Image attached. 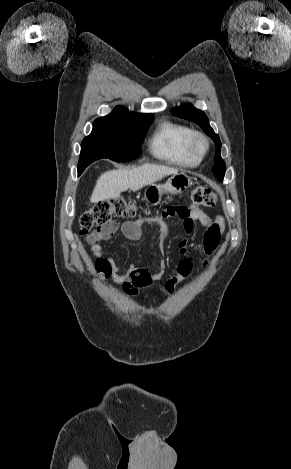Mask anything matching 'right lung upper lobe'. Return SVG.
<instances>
[{
    "label": "right lung upper lobe",
    "mask_w": 291,
    "mask_h": 469,
    "mask_svg": "<svg viewBox=\"0 0 291 469\" xmlns=\"http://www.w3.org/2000/svg\"><path fill=\"white\" fill-rule=\"evenodd\" d=\"M153 116L152 114H139L129 112L126 108L117 106L109 115L98 119H111V120H137Z\"/></svg>",
    "instance_id": "obj_1"
}]
</instances>
